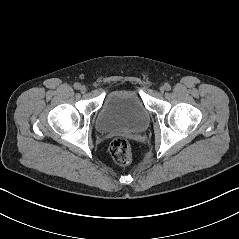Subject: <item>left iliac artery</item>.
I'll return each instance as SVG.
<instances>
[{
	"mask_svg": "<svg viewBox=\"0 0 239 239\" xmlns=\"http://www.w3.org/2000/svg\"><path fill=\"white\" fill-rule=\"evenodd\" d=\"M165 88L167 91L171 90V86L168 83L165 84Z\"/></svg>",
	"mask_w": 239,
	"mask_h": 239,
	"instance_id": "left-iliac-artery-1",
	"label": "left iliac artery"
}]
</instances>
